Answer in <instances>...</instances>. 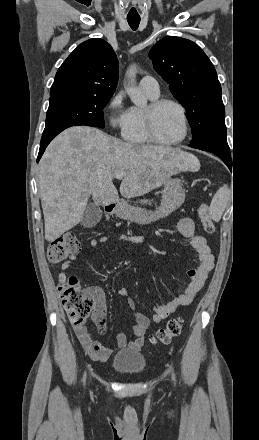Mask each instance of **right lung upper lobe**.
I'll return each mask as SVG.
<instances>
[{"mask_svg": "<svg viewBox=\"0 0 259 440\" xmlns=\"http://www.w3.org/2000/svg\"><path fill=\"white\" fill-rule=\"evenodd\" d=\"M118 82V60L112 47L94 38L81 43L58 69L50 95L86 92L113 95Z\"/></svg>", "mask_w": 259, "mask_h": 440, "instance_id": "1", "label": "right lung upper lobe"}]
</instances>
